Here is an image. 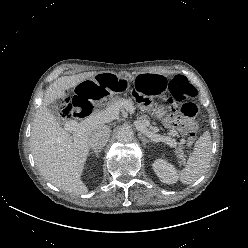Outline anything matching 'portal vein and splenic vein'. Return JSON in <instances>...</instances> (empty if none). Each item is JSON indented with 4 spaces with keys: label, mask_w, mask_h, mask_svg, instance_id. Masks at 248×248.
I'll use <instances>...</instances> for the list:
<instances>
[{
    "label": "portal vein and splenic vein",
    "mask_w": 248,
    "mask_h": 248,
    "mask_svg": "<svg viewBox=\"0 0 248 248\" xmlns=\"http://www.w3.org/2000/svg\"><path fill=\"white\" fill-rule=\"evenodd\" d=\"M119 108L115 105L109 106L106 110H103L82 122H78L76 120H69L66 121L64 124V129L70 133L76 134L80 133L86 128L93 126L99 123H109L114 120L119 115ZM126 110L130 112V114L134 113V108L129 104L126 103ZM135 127L137 130L144 136L150 138L155 142H165L167 144H172V140L167 136L155 134L149 131L144 124H142L139 120L134 122Z\"/></svg>",
    "instance_id": "obj_1"
}]
</instances>
